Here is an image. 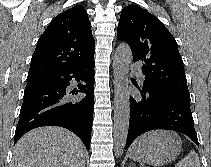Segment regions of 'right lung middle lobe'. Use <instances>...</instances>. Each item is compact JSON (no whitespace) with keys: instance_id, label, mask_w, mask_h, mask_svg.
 <instances>
[{"instance_id":"obj_1","label":"right lung middle lobe","mask_w":211,"mask_h":167,"mask_svg":"<svg viewBox=\"0 0 211 167\" xmlns=\"http://www.w3.org/2000/svg\"><path fill=\"white\" fill-rule=\"evenodd\" d=\"M44 83L39 81L38 79L36 80H31V81H28L27 85H26V88L28 87H33V86H39V85H43Z\"/></svg>"}]
</instances>
